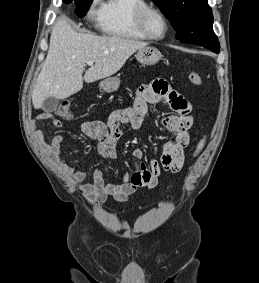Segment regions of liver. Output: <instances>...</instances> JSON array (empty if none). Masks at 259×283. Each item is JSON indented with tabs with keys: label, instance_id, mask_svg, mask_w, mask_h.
I'll use <instances>...</instances> for the list:
<instances>
[{
	"label": "liver",
	"instance_id": "liver-1",
	"mask_svg": "<svg viewBox=\"0 0 259 283\" xmlns=\"http://www.w3.org/2000/svg\"><path fill=\"white\" fill-rule=\"evenodd\" d=\"M146 46V42L120 36L77 33L67 17L59 18L32 93L34 108L40 109L49 97H70L82 89L83 81L92 83L117 73L135 51ZM88 61L95 64L83 76Z\"/></svg>",
	"mask_w": 259,
	"mask_h": 283
}]
</instances>
